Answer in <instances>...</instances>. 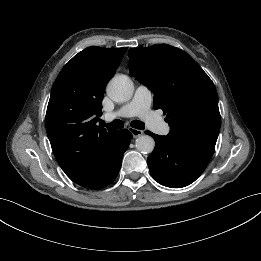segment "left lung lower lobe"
I'll return each instance as SVG.
<instances>
[{"label":"left lung lower lobe","mask_w":261,"mask_h":261,"mask_svg":"<svg viewBox=\"0 0 261 261\" xmlns=\"http://www.w3.org/2000/svg\"><path fill=\"white\" fill-rule=\"evenodd\" d=\"M146 133L155 140V148L147 159L150 173L158 183L171 188L194 182L207 167L215 148Z\"/></svg>","instance_id":"obj_1"}]
</instances>
